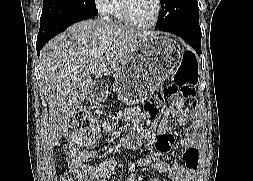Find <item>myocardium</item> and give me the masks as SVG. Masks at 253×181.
Returning <instances> with one entry per match:
<instances>
[{
	"mask_svg": "<svg viewBox=\"0 0 253 181\" xmlns=\"http://www.w3.org/2000/svg\"><path fill=\"white\" fill-rule=\"evenodd\" d=\"M120 3H121L122 19L128 25L133 26V27H137V28L148 29V28L154 27L157 24V22L159 21L161 13H162V1L155 0L156 10H155V14H154V17L152 18V20L149 22H146V23L138 22L131 17V15L129 13L128 5H127V0H120Z\"/></svg>",
	"mask_w": 253,
	"mask_h": 181,
	"instance_id": "f54148a6",
	"label": "myocardium"
}]
</instances>
